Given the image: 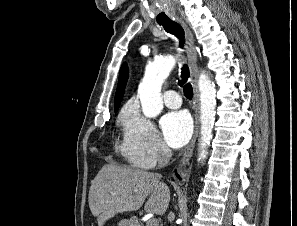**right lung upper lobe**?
<instances>
[{
    "mask_svg": "<svg viewBox=\"0 0 297 226\" xmlns=\"http://www.w3.org/2000/svg\"><path fill=\"white\" fill-rule=\"evenodd\" d=\"M128 79V66L127 63H123L120 69L119 73V80H118V85H117V90H116V95H115V102H114V108L119 107L121 100L123 98L125 86L127 83Z\"/></svg>",
    "mask_w": 297,
    "mask_h": 226,
    "instance_id": "cb5924a9",
    "label": "right lung upper lobe"
}]
</instances>
